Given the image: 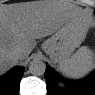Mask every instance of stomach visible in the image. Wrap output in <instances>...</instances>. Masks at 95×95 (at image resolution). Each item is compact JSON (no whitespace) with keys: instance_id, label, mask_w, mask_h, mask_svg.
Instances as JSON below:
<instances>
[{"instance_id":"1","label":"stomach","mask_w":95,"mask_h":95,"mask_svg":"<svg viewBox=\"0 0 95 95\" xmlns=\"http://www.w3.org/2000/svg\"><path fill=\"white\" fill-rule=\"evenodd\" d=\"M86 33L87 30H84L81 21L70 19L43 43L42 48L52 62L59 63L81 45Z\"/></svg>"}]
</instances>
